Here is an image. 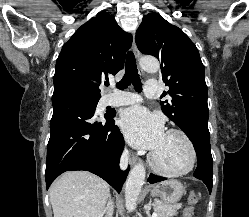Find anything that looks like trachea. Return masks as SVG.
<instances>
[{"label": "trachea", "instance_id": "1", "mask_svg": "<svg viewBox=\"0 0 249 217\" xmlns=\"http://www.w3.org/2000/svg\"><path fill=\"white\" fill-rule=\"evenodd\" d=\"M131 83L137 92H141L142 83L138 74L135 56L132 51H129L126 56L125 75L122 80L116 84V87L120 90H124ZM106 86H109V83H107Z\"/></svg>", "mask_w": 249, "mask_h": 217}]
</instances>
